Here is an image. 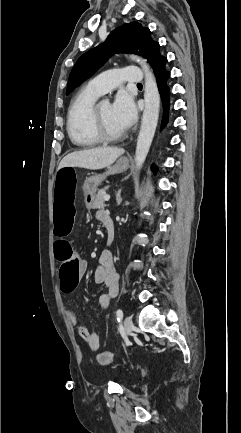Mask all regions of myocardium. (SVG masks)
Segmentation results:
<instances>
[{"label": "myocardium", "mask_w": 241, "mask_h": 433, "mask_svg": "<svg viewBox=\"0 0 241 433\" xmlns=\"http://www.w3.org/2000/svg\"><path fill=\"white\" fill-rule=\"evenodd\" d=\"M99 106L100 104H95L92 110V128L95 135L98 137L100 142L110 143L121 140L125 136L124 132L119 134H111L105 129L99 113Z\"/></svg>", "instance_id": "1"}]
</instances>
